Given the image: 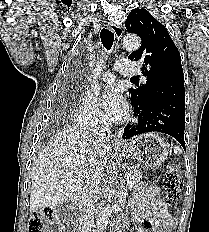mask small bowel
<instances>
[{
    "label": "small bowel",
    "instance_id": "1",
    "mask_svg": "<svg viewBox=\"0 0 209 232\" xmlns=\"http://www.w3.org/2000/svg\"><path fill=\"white\" fill-rule=\"evenodd\" d=\"M132 217L142 225L137 232H148L158 227L159 232H172L177 219L161 197L158 187L148 186L138 190L132 198Z\"/></svg>",
    "mask_w": 209,
    "mask_h": 232
}]
</instances>
